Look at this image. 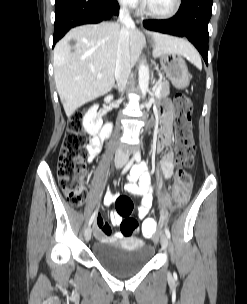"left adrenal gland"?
<instances>
[{
	"label": "left adrenal gland",
	"instance_id": "left-adrenal-gland-1",
	"mask_svg": "<svg viewBox=\"0 0 247 304\" xmlns=\"http://www.w3.org/2000/svg\"><path fill=\"white\" fill-rule=\"evenodd\" d=\"M155 84V79L152 77V85ZM155 89V86L153 87V90Z\"/></svg>",
	"mask_w": 247,
	"mask_h": 304
}]
</instances>
